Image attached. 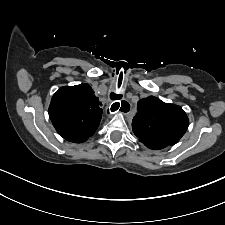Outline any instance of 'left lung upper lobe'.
<instances>
[{
    "instance_id": "5c2ea615",
    "label": "left lung upper lobe",
    "mask_w": 225,
    "mask_h": 225,
    "mask_svg": "<svg viewBox=\"0 0 225 225\" xmlns=\"http://www.w3.org/2000/svg\"><path fill=\"white\" fill-rule=\"evenodd\" d=\"M137 105L132 129L142 143L166 147L176 144L186 132L189 120L180 106L153 96L141 99Z\"/></svg>"
}]
</instances>
